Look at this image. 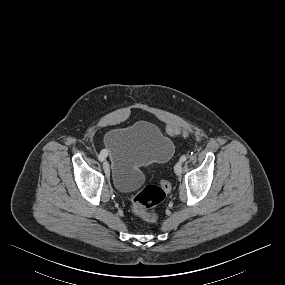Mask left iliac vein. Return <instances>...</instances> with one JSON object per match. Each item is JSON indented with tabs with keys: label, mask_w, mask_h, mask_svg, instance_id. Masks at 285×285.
<instances>
[{
	"label": "left iliac vein",
	"mask_w": 285,
	"mask_h": 285,
	"mask_svg": "<svg viewBox=\"0 0 285 285\" xmlns=\"http://www.w3.org/2000/svg\"><path fill=\"white\" fill-rule=\"evenodd\" d=\"M174 171L177 175H180L182 173V162L181 161L175 164Z\"/></svg>",
	"instance_id": "left-iliac-vein-1"
}]
</instances>
